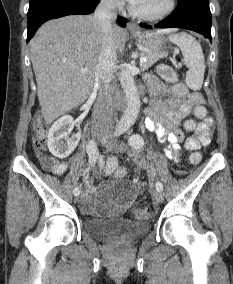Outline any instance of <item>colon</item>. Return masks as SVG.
<instances>
[{
  "instance_id": "obj_1",
  "label": "colon",
  "mask_w": 233,
  "mask_h": 284,
  "mask_svg": "<svg viewBox=\"0 0 233 284\" xmlns=\"http://www.w3.org/2000/svg\"><path fill=\"white\" fill-rule=\"evenodd\" d=\"M158 73L162 79L167 82L174 83L177 81V74L174 69L167 65L161 64L158 67ZM206 109L203 106H196L194 108V115L196 118H204L206 116ZM196 122L193 119H189L185 122V129L187 131H193L196 128ZM36 135L34 144L37 149L43 150L46 146V133H47V125L43 121H39L36 126ZM189 160L191 163H198L201 160V155L198 152H194L190 155ZM104 172L108 175H114L116 178H124L126 175V171L124 168L118 165V162L115 158L111 157L107 159ZM148 209H137L135 211V215L137 217H145L149 215Z\"/></svg>"
}]
</instances>
